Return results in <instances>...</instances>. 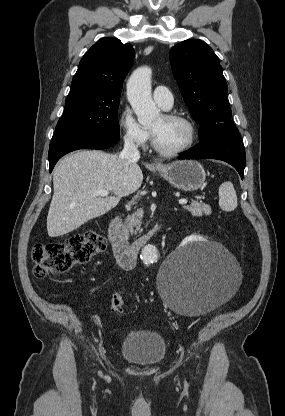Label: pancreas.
I'll return each instance as SVG.
<instances>
[{"instance_id": "cf45deb5", "label": "pancreas", "mask_w": 285, "mask_h": 416, "mask_svg": "<svg viewBox=\"0 0 285 416\" xmlns=\"http://www.w3.org/2000/svg\"><path fill=\"white\" fill-rule=\"evenodd\" d=\"M184 210H189L191 212L192 216H204V214H211V208L210 206H207V204H199V202H194L192 200L191 206H183ZM143 210H137L135 214H131V216H128L127 220H125V230L127 232H131V234H138L141 230V218H143Z\"/></svg>"}]
</instances>
